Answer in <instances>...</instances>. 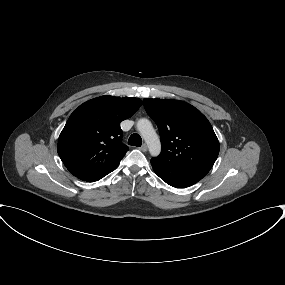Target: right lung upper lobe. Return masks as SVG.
Segmentation results:
<instances>
[{
  "mask_svg": "<svg viewBox=\"0 0 285 285\" xmlns=\"http://www.w3.org/2000/svg\"><path fill=\"white\" fill-rule=\"evenodd\" d=\"M142 105L138 98L101 96L80 105L58 139V154L77 178L94 182L117 168L129 148L122 144L121 121Z\"/></svg>",
  "mask_w": 285,
  "mask_h": 285,
  "instance_id": "obj_1",
  "label": "right lung upper lobe"
}]
</instances>
